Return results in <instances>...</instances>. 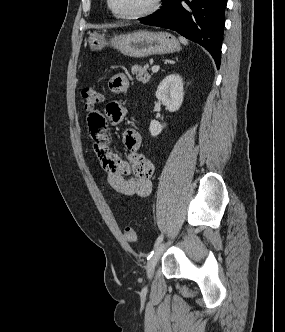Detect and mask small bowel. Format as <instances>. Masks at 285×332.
<instances>
[{
	"mask_svg": "<svg viewBox=\"0 0 285 332\" xmlns=\"http://www.w3.org/2000/svg\"><path fill=\"white\" fill-rule=\"evenodd\" d=\"M112 92L121 94L129 89L128 78L124 74H115L109 81ZM127 111L118 102H110L106 107H97L88 115V128L94 150L106 172L110 188L121 195L146 197L151 193V178L154 164L139 152L142 137L135 129H127L122 134L125 158L112 148L105 128L107 123L115 126L124 121Z\"/></svg>",
	"mask_w": 285,
	"mask_h": 332,
	"instance_id": "obj_1",
	"label": "small bowel"
}]
</instances>
